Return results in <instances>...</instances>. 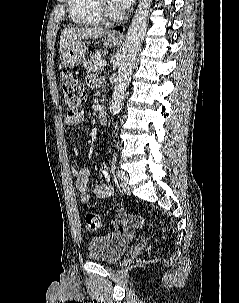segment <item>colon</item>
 <instances>
[{
    "label": "colon",
    "mask_w": 239,
    "mask_h": 303,
    "mask_svg": "<svg viewBox=\"0 0 239 303\" xmlns=\"http://www.w3.org/2000/svg\"><path fill=\"white\" fill-rule=\"evenodd\" d=\"M62 94L68 114L70 116L77 115L85 104L86 93L82 82L70 72H64L62 75ZM120 221L117 229L121 228L123 222H134L132 218H124ZM85 223L91 231H99L102 227L101 218L94 211L86 213Z\"/></svg>",
    "instance_id": "colon-1"
}]
</instances>
